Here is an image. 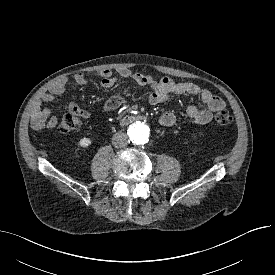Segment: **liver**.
<instances>
[{
	"instance_id": "liver-1",
	"label": "liver",
	"mask_w": 275,
	"mask_h": 275,
	"mask_svg": "<svg viewBox=\"0 0 275 275\" xmlns=\"http://www.w3.org/2000/svg\"><path fill=\"white\" fill-rule=\"evenodd\" d=\"M49 114V111L48 110H44V111H40V112H37L36 115L34 116V120H37V119H45Z\"/></svg>"
}]
</instances>
